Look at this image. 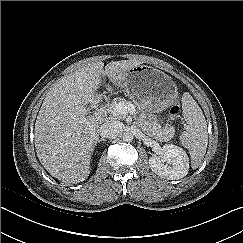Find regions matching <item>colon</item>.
<instances>
[{
	"instance_id": "5ec220e1",
	"label": "colon",
	"mask_w": 243,
	"mask_h": 243,
	"mask_svg": "<svg viewBox=\"0 0 243 243\" xmlns=\"http://www.w3.org/2000/svg\"><path fill=\"white\" fill-rule=\"evenodd\" d=\"M180 108L179 106H173L169 111V116L172 120H176L179 117Z\"/></svg>"
}]
</instances>
